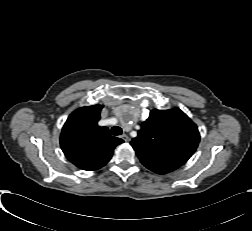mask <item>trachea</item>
Listing matches in <instances>:
<instances>
[{"mask_svg": "<svg viewBox=\"0 0 252 231\" xmlns=\"http://www.w3.org/2000/svg\"><path fill=\"white\" fill-rule=\"evenodd\" d=\"M111 132H112L113 135L118 136V135L122 134V129L119 126H114L111 129Z\"/></svg>", "mask_w": 252, "mask_h": 231, "instance_id": "obj_1", "label": "trachea"}]
</instances>
